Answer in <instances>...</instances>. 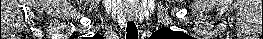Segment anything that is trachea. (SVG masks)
Listing matches in <instances>:
<instances>
[{
	"label": "trachea",
	"instance_id": "trachea-1",
	"mask_svg": "<svg viewBox=\"0 0 263 39\" xmlns=\"http://www.w3.org/2000/svg\"><path fill=\"white\" fill-rule=\"evenodd\" d=\"M126 39H138V30L133 21L127 22Z\"/></svg>",
	"mask_w": 263,
	"mask_h": 39
}]
</instances>
